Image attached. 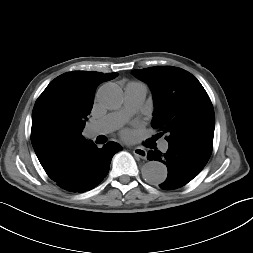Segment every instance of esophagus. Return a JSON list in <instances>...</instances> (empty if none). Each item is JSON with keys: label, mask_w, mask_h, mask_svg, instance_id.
Wrapping results in <instances>:
<instances>
[{"label": "esophagus", "mask_w": 253, "mask_h": 253, "mask_svg": "<svg viewBox=\"0 0 253 253\" xmlns=\"http://www.w3.org/2000/svg\"><path fill=\"white\" fill-rule=\"evenodd\" d=\"M133 154L141 159H146L147 151L142 147H135L133 149Z\"/></svg>", "instance_id": "34e87169"}]
</instances>
